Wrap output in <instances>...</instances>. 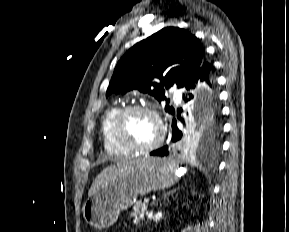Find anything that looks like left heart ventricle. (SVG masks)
<instances>
[{
	"instance_id": "obj_1",
	"label": "left heart ventricle",
	"mask_w": 289,
	"mask_h": 232,
	"mask_svg": "<svg viewBox=\"0 0 289 232\" xmlns=\"http://www.w3.org/2000/svg\"><path fill=\"white\" fill-rule=\"evenodd\" d=\"M124 133L131 143L138 146H148L157 140L159 128L151 115L144 112H134L126 118Z\"/></svg>"
}]
</instances>
